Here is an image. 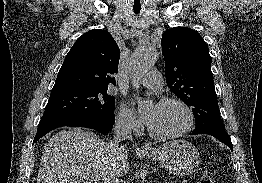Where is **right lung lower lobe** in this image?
<instances>
[{"label": "right lung lower lobe", "instance_id": "98d812e1", "mask_svg": "<svg viewBox=\"0 0 262 183\" xmlns=\"http://www.w3.org/2000/svg\"><path fill=\"white\" fill-rule=\"evenodd\" d=\"M115 122V116H105L104 118L99 117H87V116H76V115H50L41 118L38 125L37 134L34 138L35 143L45 134L51 130L61 127H87L97 130L100 133H107Z\"/></svg>", "mask_w": 262, "mask_h": 183}]
</instances>
